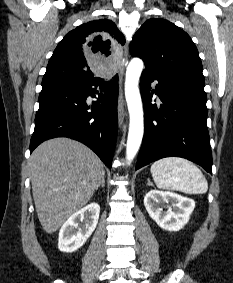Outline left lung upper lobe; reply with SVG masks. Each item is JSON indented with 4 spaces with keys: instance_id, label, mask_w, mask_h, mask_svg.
I'll return each instance as SVG.
<instances>
[{
    "instance_id": "1",
    "label": "left lung upper lobe",
    "mask_w": 233,
    "mask_h": 283,
    "mask_svg": "<svg viewBox=\"0 0 233 283\" xmlns=\"http://www.w3.org/2000/svg\"><path fill=\"white\" fill-rule=\"evenodd\" d=\"M130 53L140 57L145 70L204 80L197 48L189 35L164 19H149L133 36Z\"/></svg>"
}]
</instances>
